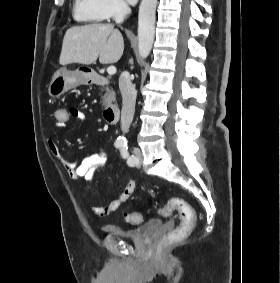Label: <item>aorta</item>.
Returning <instances> with one entry per match:
<instances>
[{
    "mask_svg": "<svg viewBox=\"0 0 280 283\" xmlns=\"http://www.w3.org/2000/svg\"><path fill=\"white\" fill-rule=\"evenodd\" d=\"M156 7L157 0H142L139 7L138 50L143 59L149 56L154 42Z\"/></svg>",
    "mask_w": 280,
    "mask_h": 283,
    "instance_id": "762f6f07",
    "label": "aorta"
}]
</instances>
